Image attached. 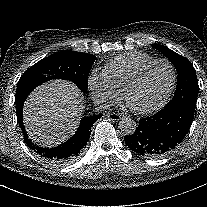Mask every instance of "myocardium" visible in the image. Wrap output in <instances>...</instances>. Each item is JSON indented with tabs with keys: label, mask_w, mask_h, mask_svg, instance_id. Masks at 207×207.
Returning a JSON list of instances; mask_svg holds the SVG:
<instances>
[{
	"label": "myocardium",
	"mask_w": 207,
	"mask_h": 207,
	"mask_svg": "<svg viewBox=\"0 0 207 207\" xmlns=\"http://www.w3.org/2000/svg\"><path fill=\"white\" fill-rule=\"evenodd\" d=\"M158 63H162L167 65L170 68L171 71V84L170 87L168 89V92L166 94V97L163 101V104H166L169 102V100L171 99L175 87H176V82H177V74H176V70L174 65L167 59H154L148 63H146L145 65H143L138 72L132 76L127 83L125 84L123 90H122V99L123 101L127 104V97L130 93V91L132 90V88L143 78L144 74L147 72V70L149 68H151L153 65L158 64ZM131 111L138 116H143L149 113V111H136L132 108H130Z\"/></svg>",
	"instance_id": "1"
}]
</instances>
